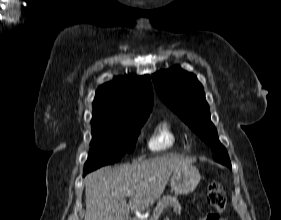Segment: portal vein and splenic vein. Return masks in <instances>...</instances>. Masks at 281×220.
<instances>
[{
    "instance_id": "18ae733b",
    "label": "portal vein and splenic vein",
    "mask_w": 281,
    "mask_h": 220,
    "mask_svg": "<svg viewBox=\"0 0 281 220\" xmlns=\"http://www.w3.org/2000/svg\"><path fill=\"white\" fill-rule=\"evenodd\" d=\"M133 192H131V191H127V195H131Z\"/></svg>"
}]
</instances>
